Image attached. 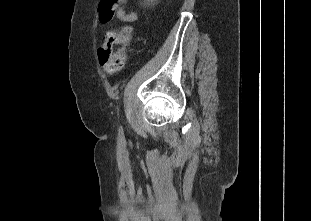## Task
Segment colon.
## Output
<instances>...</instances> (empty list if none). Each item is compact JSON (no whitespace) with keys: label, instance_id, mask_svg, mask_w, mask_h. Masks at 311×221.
<instances>
[{"label":"colon","instance_id":"5ec220e1","mask_svg":"<svg viewBox=\"0 0 311 221\" xmlns=\"http://www.w3.org/2000/svg\"><path fill=\"white\" fill-rule=\"evenodd\" d=\"M125 0H105L101 1L97 22H109L110 17H119L120 5ZM132 28L125 26L121 30L107 31L104 36L103 45L99 48V56L104 71L108 76L114 75L123 68L125 59V49L131 40Z\"/></svg>","mask_w":311,"mask_h":221}]
</instances>
